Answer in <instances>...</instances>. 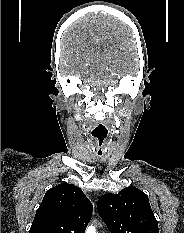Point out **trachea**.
I'll list each match as a JSON object with an SVG mask.
<instances>
[{"label":"trachea","instance_id":"3493384b","mask_svg":"<svg viewBox=\"0 0 184 233\" xmlns=\"http://www.w3.org/2000/svg\"><path fill=\"white\" fill-rule=\"evenodd\" d=\"M108 135V130L103 126L99 125L92 131V137L95 142V149L98 155H102L104 153V145Z\"/></svg>","mask_w":184,"mask_h":233}]
</instances>
